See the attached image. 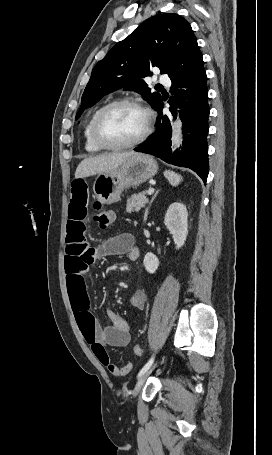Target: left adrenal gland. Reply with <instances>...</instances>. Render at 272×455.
I'll use <instances>...</instances> for the list:
<instances>
[{"instance_id":"obj_1","label":"left adrenal gland","mask_w":272,"mask_h":455,"mask_svg":"<svg viewBox=\"0 0 272 455\" xmlns=\"http://www.w3.org/2000/svg\"><path fill=\"white\" fill-rule=\"evenodd\" d=\"M157 194H158V191L156 192V194H155V195L153 196V198L151 199L150 205H151V203L153 202V200L156 198ZM148 209H149V208H147L146 211H145V220L147 219Z\"/></svg>"}]
</instances>
